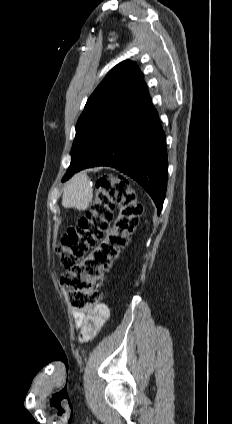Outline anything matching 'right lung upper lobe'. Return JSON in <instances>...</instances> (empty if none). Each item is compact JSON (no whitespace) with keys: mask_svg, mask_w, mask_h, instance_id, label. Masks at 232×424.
<instances>
[{"mask_svg":"<svg viewBox=\"0 0 232 424\" xmlns=\"http://www.w3.org/2000/svg\"><path fill=\"white\" fill-rule=\"evenodd\" d=\"M150 99L144 76L135 62L123 61L98 85L87 100L84 111L108 105L135 107Z\"/></svg>","mask_w":232,"mask_h":424,"instance_id":"1","label":"right lung upper lobe"}]
</instances>
